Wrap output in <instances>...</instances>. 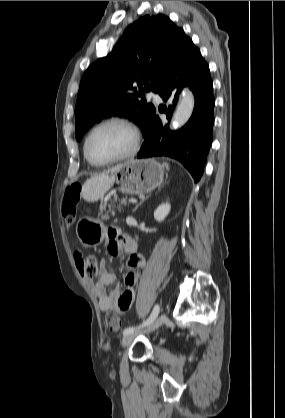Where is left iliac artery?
<instances>
[{"label": "left iliac artery", "mask_w": 285, "mask_h": 418, "mask_svg": "<svg viewBox=\"0 0 285 418\" xmlns=\"http://www.w3.org/2000/svg\"><path fill=\"white\" fill-rule=\"evenodd\" d=\"M159 312H160V305L156 304L154 306L150 316L148 317V319L145 322H143L141 325H139L137 327L131 326V327L125 328L124 331H123V335L126 336L130 333H133L134 331H136L138 329H141L145 326H148L149 324H151L157 318Z\"/></svg>", "instance_id": "1"}]
</instances>
